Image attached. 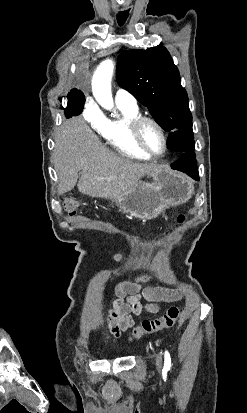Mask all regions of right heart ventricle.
Instances as JSON below:
<instances>
[{
	"label": "right heart ventricle",
	"instance_id": "obj_1",
	"mask_svg": "<svg viewBox=\"0 0 247 413\" xmlns=\"http://www.w3.org/2000/svg\"><path fill=\"white\" fill-rule=\"evenodd\" d=\"M124 111V116L117 121L110 122L106 125V131L103 136L118 153L124 157L148 161L150 158L140 151L132 140L131 130L135 120L138 118L137 113L130 111L128 107L119 105Z\"/></svg>",
	"mask_w": 247,
	"mask_h": 413
}]
</instances>
